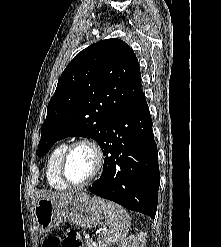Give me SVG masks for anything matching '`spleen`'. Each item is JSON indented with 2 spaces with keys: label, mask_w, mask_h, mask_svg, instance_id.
Here are the masks:
<instances>
[{
  "label": "spleen",
  "mask_w": 221,
  "mask_h": 247,
  "mask_svg": "<svg viewBox=\"0 0 221 247\" xmlns=\"http://www.w3.org/2000/svg\"><path fill=\"white\" fill-rule=\"evenodd\" d=\"M106 229L99 235V247L120 244L129 232L128 212L121 206L106 201L103 205Z\"/></svg>",
  "instance_id": "obj_1"
}]
</instances>
